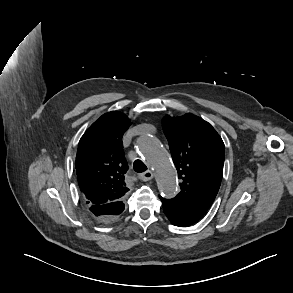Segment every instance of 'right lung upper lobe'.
<instances>
[{"label": "right lung upper lobe", "instance_id": "right-lung-upper-lobe-1", "mask_svg": "<svg viewBox=\"0 0 293 293\" xmlns=\"http://www.w3.org/2000/svg\"><path fill=\"white\" fill-rule=\"evenodd\" d=\"M130 120L117 111L101 116L81 137L75 161L78 183L88 206L120 202L129 189L122 136Z\"/></svg>", "mask_w": 293, "mask_h": 293}]
</instances>
